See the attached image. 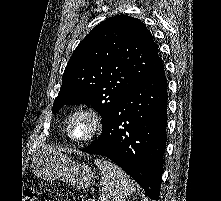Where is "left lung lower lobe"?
Listing matches in <instances>:
<instances>
[{
    "mask_svg": "<svg viewBox=\"0 0 221 201\" xmlns=\"http://www.w3.org/2000/svg\"><path fill=\"white\" fill-rule=\"evenodd\" d=\"M166 125L167 80L161 63L119 102L99 139L82 151L108 157L157 201Z\"/></svg>",
    "mask_w": 221,
    "mask_h": 201,
    "instance_id": "left-lung-lower-lobe-1",
    "label": "left lung lower lobe"
}]
</instances>
